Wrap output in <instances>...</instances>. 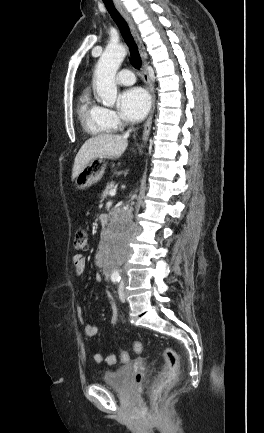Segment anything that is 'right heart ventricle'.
I'll list each match as a JSON object with an SVG mask.
<instances>
[{"instance_id":"obj_1","label":"right heart ventricle","mask_w":264,"mask_h":433,"mask_svg":"<svg viewBox=\"0 0 264 433\" xmlns=\"http://www.w3.org/2000/svg\"><path fill=\"white\" fill-rule=\"evenodd\" d=\"M78 115L84 130L91 136H102L113 130L105 119L103 108L86 93L80 97Z\"/></svg>"}]
</instances>
